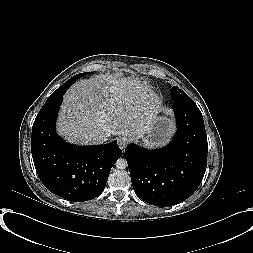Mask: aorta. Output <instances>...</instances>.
<instances>
[{"instance_id":"aorta-1","label":"aorta","mask_w":253,"mask_h":253,"mask_svg":"<svg viewBox=\"0 0 253 253\" xmlns=\"http://www.w3.org/2000/svg\"><path fill=\"white\" fill-rule=\"evenodd\" d=\"M115 164H116L117 169H120V170H123V169L127 168V166H128L127 160L122 157L119 158Z\"/></svg>"}]
</instances>
